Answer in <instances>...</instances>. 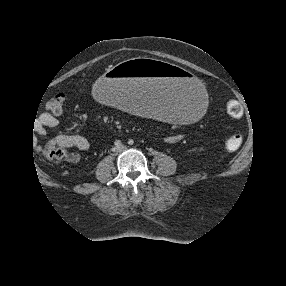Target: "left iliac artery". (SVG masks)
<instances>
[{"mask_svg": "<svg viewBox=\"0 0 286 286\" xmlns=\"http://www.w3.org/2000/svg\"><path fill=\"white\" fill-rule=\"evenodd\" d=\"M133 143H134V141H133L132 139H130V140L128 141V144H129V145H133Z\"/></svg>", "mask_w": 286, "mask_h": 286, "instance_id": "1", "label": "left iliac artery"}]
</instances>
